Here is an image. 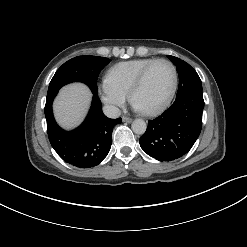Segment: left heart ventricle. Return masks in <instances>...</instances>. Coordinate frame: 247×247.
I'll return each mask as SVG.
<instances>
[{"instance_id":"left-heart-ventricle-1","label":"left heart ventricle","mask_w":247,"mask_h":247,"mask_svg":"<svg viewBox=\"0 0 247 247\" xmlns=\"http://www.w3.org/2000/svg\"><path fill=\"white\" fill-rule=\"evenodd\" d=\"M173 83L171 67L164 62L156 64L134 96V104L141 110L159 106L168 96Z\"/></svg>"}]
</instances>
